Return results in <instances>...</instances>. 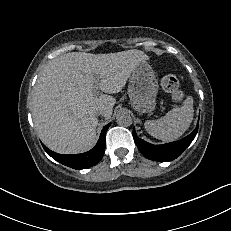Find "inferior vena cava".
Returning a JSON list of instances; mask_svg holds the SVG:
<instances>
[{"instance_id":"1","label":"inferior vena cava","mask_w":231,"mask_h":231,"mask_svg":"<svg viewBox=\"0 0 231 231\" xmlns=\"http://www.w3.org/2000/svg\"><path fill=\"white\" fill-rule=\"evenodd\" d=\"M103 114V109H100V110H98V111H96V115L98 116V115H102Z\"/></svg>"}]
</instances>
